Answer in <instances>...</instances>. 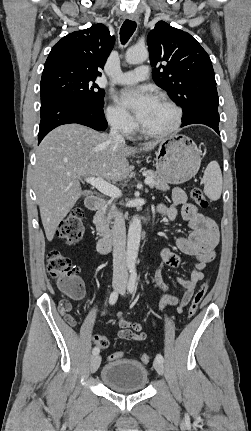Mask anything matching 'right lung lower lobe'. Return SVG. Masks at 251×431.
<instances>
[{
    "label": "right lung lower lobe",
    "mask_w": 251,
    "mask_h": 431,
    "mask_svg": "<svg viewBox=\"0 0 251 431\" xmlns=\"http://www.w3.org/2000/svg\"><path fill=\"white\" fill-rule=\"evenodd\" d=\"M41 122L38 143L54 128L69 123H78L98 131L107 128L103 108L61 97L49 99L41 104Z\"/></svg>",
    "instance_id": "obj_1"
}]
</instances>
